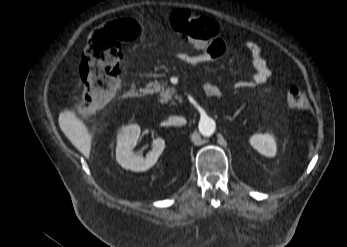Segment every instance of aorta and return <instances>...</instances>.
Here are the masks:
<instances>
[{
  "label": "aorta",
  "mask_w": 347,
  "mask_h": 247,
  "mask_svg": "<svg viewBox=\"0 0 347 247\" xmlns=\"http://www.w3.org/2000/svg\"><path fill=\"white\" fill-rule=\"evenodd\" d=\"M216 128V123L211 118H203L199 122V130L204 136H211Z\"/></svg>",
  "instance_id": "762f6f07"
}]
</instances>
